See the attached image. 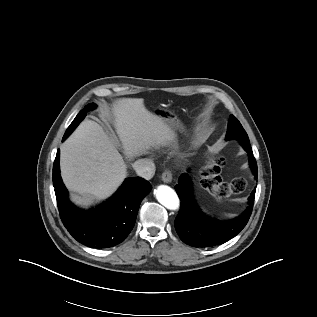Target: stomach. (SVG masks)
I'll list each match as a JSON object with an SVG mask.
<instances>
[{
	"instance_id": "1",
	"label": "stomach",
	"mask_w": 317,
	"mask_h": 317,
	"mask_svg": "<svg viewBox=\"0 0 317 317\" xmlns=\"http://www.w3.org/2000/svg\"><path fill=\"white\" fill-rule=\"evenodd\" d=\"M156 115L161 117L166 123H168L172 126H179V124H180L176 115L167 109L158 108L156 110Z\"/></svg>"
}]
</instances>
